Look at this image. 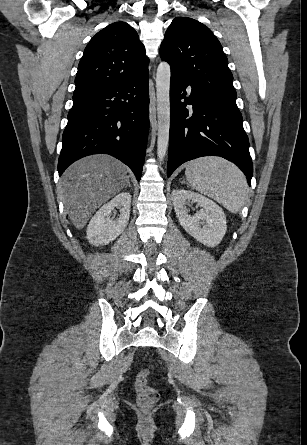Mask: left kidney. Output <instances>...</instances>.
<instances>
[{
  "mask_svg": "<svg viewBox=\"0 0 307 445\" xmlns=\"http://www.w3.org/2000/svg\"><path fill=\"white\" fill-rule=\"evenodd\" d=\"M172 200L181 227L191 237L206 247H217L221 243L227 231V225L225 212L219 204L198 192L182 190V188L172 190ZM187 200L197 202L199 206H202L201 210H197L193 216L188 214V208H185ZM199 220H206V223H199ZM201 225H204L203 229Z\"/></svg>",
  "mask_w": 307,
  "mask_h": 445,
  "instance_id": "5707ae66",
  "label": "left kidney"
}]
</instances>
